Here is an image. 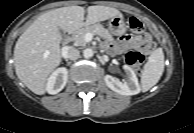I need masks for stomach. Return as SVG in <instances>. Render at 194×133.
Segmentation results:
<instances>
[{
    "mask_svg": "<svg viewBox=\"0 0 194 133\" xmlns=\"http://www.w3.org/2000/svg\"><path fill=\"white\" fill-rule=\"evenodd\" d=\"M108 30L111 34L120 36L126 32V24L122 16H115L108 20Z\"/></svg>",
    "mask_w": 194,
    "mask_h": 133,
    "instance_id": "stomach-1",
    "label": "stomach"
}]
</instances>
